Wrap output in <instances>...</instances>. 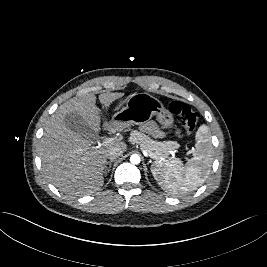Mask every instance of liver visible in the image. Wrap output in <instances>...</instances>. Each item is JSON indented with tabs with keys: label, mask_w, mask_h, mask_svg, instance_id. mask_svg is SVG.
<instances>
[{
	"label": "liver",
	"mask_w": 267,
	"mask_h": 267,
	"mask_svg": "<svg viewBox=\"0 0 267 267\" xmlns=\"http://www.w3.org/2000/svg\"><path fill=\"white\" fill-rule=\"evenodd\" d=\"M124 93L106 92L99 95L100 103L108 108ZM76 113L97 134L101 130L100 110L96 96L85 94L74 97L58 107L47 121L40 142V158L46 178L61 192L69 196L94 193L104 183V169L108 151L118 147L126 151L125 142H113L101 147H91V140L71 131L65 116ZM103 129L109 132H123L122 124L104 121Z\"/></svg>",
	"instance_id": "liver-1"
}]
</instances>
